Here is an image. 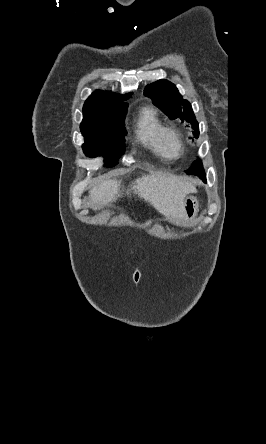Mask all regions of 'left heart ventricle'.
Listing matches in <instances>:
<instances>
[{
    "label": "left heart ventricle",
    "mask_w": 266,
    "mask_h": 444,
    "mask_svg": "<svg viewBox=\"0 0 266 444\" xmlns=\"http://www.w3.org/2000/svg\"><path fill=\"white\" fill-rule=\"evenodd\" d=\"M166 145L172 154H177L179 152V142L174 134H169L166 137Z\"/></svg>",
    "instance_id": "1"
}]
</instances>
